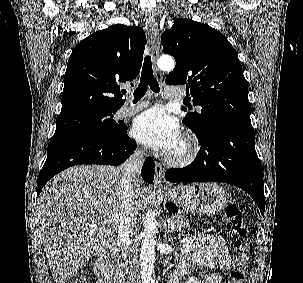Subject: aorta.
<instances>
[{
    "instance_id": "762f6f07",
    "label": "aorta",
    "mask_w": 303,
    "mask_h": 283,
    "mask_svg": "<svg viewBox=\"0 0 303 283\" xmlns=\"http://www.w3.org/2000/svg\"><path fill=\"white\" fill-rule=\"evenodd\" d=\"M158 67L163 71H171L174 69L175 62L168 55L162 56L158 62ZM157 223L155 212L147 213L144 230L142 232V246L139 258V266L142 283H155L154 273V256L156 245Z\"/></svg>"
}]
</instances>
